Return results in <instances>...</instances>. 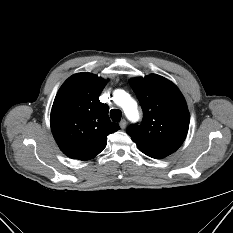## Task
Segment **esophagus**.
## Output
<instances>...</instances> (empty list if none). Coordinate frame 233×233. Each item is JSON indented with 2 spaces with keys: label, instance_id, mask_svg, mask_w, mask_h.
<instances>
[{
  "label": "esophagus",
  "instance_id": "1",
  "mask_svg": "<svg viewBox=\"0 0 233 233\" xmlns=\"http://www.w3.org/2000/svg\"><path fill=\"white\" fill-rule=\"evenodd\" d=\"M119 125H120V128H121V129H125V127H126V125H127L126 120H125V119L121 120L120 123H119Z\"/></svg>",
  "mask_w": 233,
  "mask_h": 233
}]
</instances>
